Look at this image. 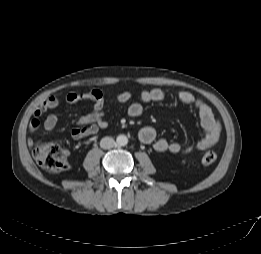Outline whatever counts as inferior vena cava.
<instances>
[{
	"label": "inferior vena cava",
	"mask_w": 261,
	"mask_h": 254,
	"mask_svg": "<svg viewBox=\"0 0 261 254\" xmlns=\"http://www.w3.org/2000/svg\"><path fill=\"white\" fill-rule=\"evenodd\" d=\"M115 141L111 137H104L100 141V147L103 149H110L115 146Z\"/></svg>",
	"instance_id": "602c4592"
}]
</instances>
